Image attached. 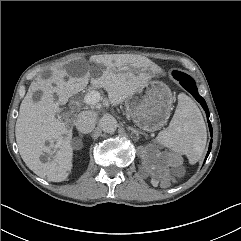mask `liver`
I'll return each mask as SVG.
<instances>
[{
    "label": "liver",
    "mask_w": 241,
    "mask_h": 241,
    "mask_svg": "<svg viewBox=\"0 0 241 241\" xmlns=\"http://www.w3.org/2000/svg\"><path fill=\"white\" fill-rule=\"evenodd\" d=\"M89 61L105 67L99 77L91 76L89 66L85 67L87 71L84 75L79 77L69 76L63 65L54 67L50 78L38 76L31 83L20 105L15 126L19 153L29 169L52 182L65 181L73 166L72 129L56 118L59 102L54 101V93L65 102L80 92L90 80L93 86L104 88L110 103L116 106L151 78L148 72L151 62L141 56L94 55ZM37 91L42 92V97L36 103L33 95ZM43 153L54 154L53 159L43 163L40 160Z\"/></svg>",
    "instance_id": "1"
}]
</instances>
